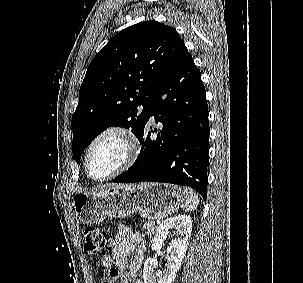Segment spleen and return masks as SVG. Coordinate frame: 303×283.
Returning a JSON list of instances; mask_svg holds the SVG:
<instances>
[{"mask_svg":"<svg viewBox=\"0 0 303 283\" xmlns=\"http://www.w3.org/2000/svg\"><path fill=\"white\" fill-rule=\"evenodd\" d=\"M183 195L185 203L183 205V210L185 212L193 211L195 210L199 205V199L198 196L194 193V191L190 188H183Z\"/></svg>","mask_w":303,"mask_h":283,"instance_id":"3e777b00","label":"spleen"}]
</instances>
